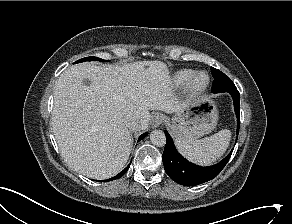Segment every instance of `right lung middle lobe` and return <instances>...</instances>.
Here are the masks:
<instances>
[{
  "mask_svg": "<svg viewBox=\"0 0 292 224\" xmlns=\"http://www.w3.org/2000/svg\"><path fill=\"white\" fill-rule=\"evenodd\" d=\"M84 61H101V62H108L109 60H104V59H101V58H98V57L91 56V57H87V58L80 59V60H78V61L75 62V63L84 62Z\"/></svg>",
  "mask_w": 292,
  "mask_h": 224,
  "instance_id": "obj_1",
  "label": "right lung middle lobe"
}]
</instances>
